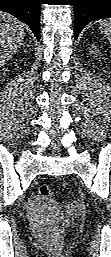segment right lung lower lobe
<instances>
[{
  "instance_id": "1",
  "label": "right lung lower lobe",
  "mask_w": 111,
  "mask_h": 257,
  "mask_svg": "<svg viewBox=\"0 0 111 257\" xmlns=\"http://www.w3.org/2000/svg\"><path fill=\"white\" fill-rule=\"evenodd\" d=\"M41 0H0V10L12 14L26 23L40 40Z\"/></svg>"
}]
</instances>
